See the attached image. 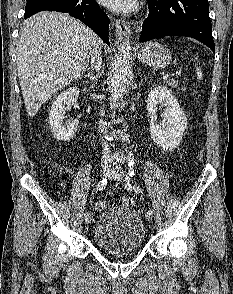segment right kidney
<instances>
[{
    "instance_id": "obj_1",
    "label": "right kidney",
    "mask_w": 233,
    "mask_h": 294,
    "mask_svg": "<svg viewBox=\"0 0 233 294\" xmlns=\"http://www.w3.org/2000/svg\"><path fill=\"white\" fill-rule=\"evenodd\" d=\"M79 89L71 87L60 93L54 100L49 113V124L55 137L60 141H68L78 127L79 121L64 122V115L77 101Z\"/></svg>"
}]
</instances>
